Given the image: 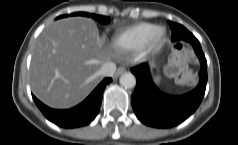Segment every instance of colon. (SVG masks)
<instances>
[{"instance_id": "1", "label": "colon", "mask_w": 238, "mask_h": 145, "mask_svg": "<svg viewBox=\"0 0 238 145\" xmlns=\"http://www.w3.org/2000/svg\"><path fill=\"white\" fill-rule=\"evenodd\" d=\"M193 60L194 54L191 48L184 43H177L174 46L166 71L169 76L179 82L188 83L192 80V74L188 70L186 63Z\"/></svg>"}]
</instances>
